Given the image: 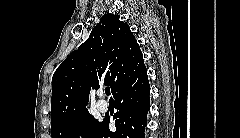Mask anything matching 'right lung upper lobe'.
<instances>
[{
	"instance_id": "cb5924a9",
	"label": "right lung upper lobe",
	"mask_w": 240,
	"mask_h": 138,
	"mask_svg": "<svg viewBox=\"0 0 240 138\" xmlns=\"http://www.w3.org/2000/svg\"><path fill=\"white\" fill-rule=\"evenodd\" d=\"M119 18L104 14L89 38L56 69L52 77V125L87 110L91 87L97 89L104 83L114 96L147 73L133 33Z\"/></svg>"
}]
</instances>
